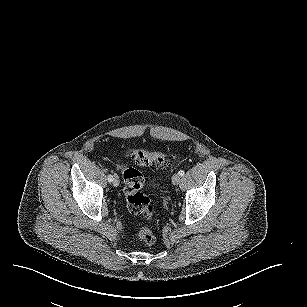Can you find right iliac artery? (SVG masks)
I'll return each mask as SVG.
<instances>
[{
    "instance_id": "obj_1",
    "label": "right iliac artery",
    "mask_w": 307,
    "mask_h": 307,
    "mask_svg": "<svg viewBox=\"0 0 307 307\" xmlns=\"http://www.w3.org/2000/svg\"><path fill=\"white\" fill-rule=\"evenodd\" d=\"M112 181H113V176L109 174V175H108V182L111 183Z\"/></svg>"
}]
</instances>
